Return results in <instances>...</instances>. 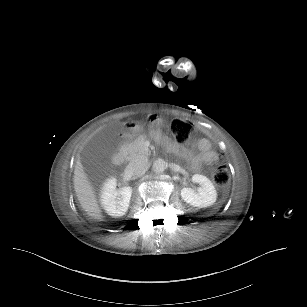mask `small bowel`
I'll return each instance as SVG.
<instances>
[{
  "instance_id": "c3829d8e",
  "label": "small bowel",
  "mask_w": 307,
  "mask_h": 307,
  "mask_svg": "<svg viewBox=\"0 0 307 307\" xmlns=\"http://www.w3.org/2000/svg\"><path fill=\"white\" fill-rule=\"evenodd\" d=\"M186 154L194 171H199L203 164H212L218 158V154L212 150L211 143L206 138L198 140L192 148L186 150Z\"/></svg>"
}]
</instances>
